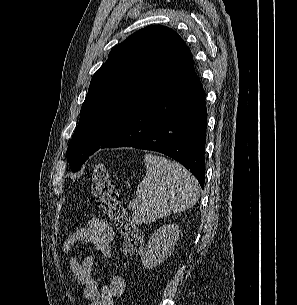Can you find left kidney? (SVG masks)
Here are the masks:
<instances>
[{
	"label": "left kidney",
	"instance_id": "obj_1",
	"mask_svg": "<svg viewBox=\"0 0 297 305\" xmlns=\"http://www.w3.org/2000/svg\"><path fill=\"white\" fill-rule=\"evenodd\" d=\"M176 224L163 225L150 238L141 256L143 265L153 269L164 262L173 252L179 238Z\"/></svg>",
	"mask_w": 297,
	"mask_h": 305
}]
</instances>
